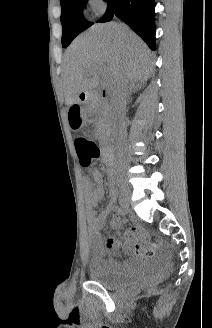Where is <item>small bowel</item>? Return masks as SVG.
Wrapping results in <instances>:
<instances>
[{
  "label": "small bowel",
  "instance_id": "1",
  "mask_svg": "<svg viewBox=\"0 0 212 328\" xmlns=\"http://www.w3.org/2000/svg\"><path fill=\"white\" fill-rule=\"evenodd\" d=\"M104 178L99 171L92 173V180L84 176L82 179L83 195L86 205L88 230L91 238V247L94 251L100 252L103 249V239L100 235V230L103 228L107 216L110 212L116 211V194L113 189L110 191L111 200L105 210L97 213L95 207L102 200L104 195L103 187ZM121 225V218L115 215L112 220L113 227ZM117 242L109 240L107 242L108 248L116 247ZM122 250L126 255L133 253L141 255H150L154 249L146 242L145 233L139 226H133L124 232V239L121 244ZM112 267L120 270L122 264L116 259H109Z\"/></svg>",
  "mask_w": 212,
  "mask_h": 328
}]
</instances>
